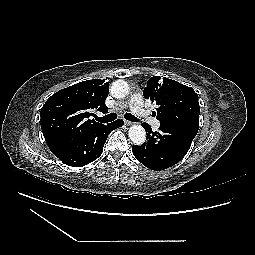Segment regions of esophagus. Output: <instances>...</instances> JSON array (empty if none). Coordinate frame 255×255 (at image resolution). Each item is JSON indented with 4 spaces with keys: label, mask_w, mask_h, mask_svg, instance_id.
Here are the masks:
<instances>
[{
    "label": "esophagus",
    "mask_w": 255,
    "mask_h": 255,
    "mask_svg": "<svg viewBox=\"0 0 255 255\" xmlns=\"http://www.w3.org/2000/svg\"><path fill=\"white\" fill-rule=\"evenodd\" d=\"M125 124H126L127 126H131V125L133 124V122L128 121V120H125Z\"/></svg>",
    "instance_id": "1"
}]
</instances>
